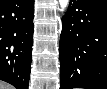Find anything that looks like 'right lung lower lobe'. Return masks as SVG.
Returning a JSON list of instances; mask_svg holds the SVG:
<instances>
[{"label": "right lung lower lobe", "mask_w": 107, "mask_h": 89, "mask_svg": "<svg viewBox=\"0 0 107 89\" xmlns=\"http://www.w3.org/2000/svg\"><path fill=\"white\" fill-rule=\"evenodd\" d=\"M34 0H0V80L28 89Z\"/></svg>", "instance_id": "obj_1"}]
</instances>
